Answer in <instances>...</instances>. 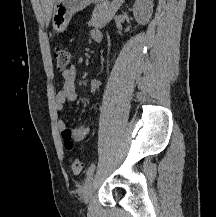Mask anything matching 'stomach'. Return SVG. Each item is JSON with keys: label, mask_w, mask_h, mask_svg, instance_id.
<instances>
[{"label": "stomach", "mask_w": 216, "mask_h": 217, "mask_svg": "<svg viewBox=\"0 0 216 217\" xmlns=\"http://www.w3.org/2000/svg\"><path fill=\"white\" fill-rule=\"evenodd\" d=\"M105 0H57L54 6L52 25L55 33L65 31L72 16L82 11L92 3H100Z\"/></svg>", "instance_id": "obj_1"}]
</instances>
